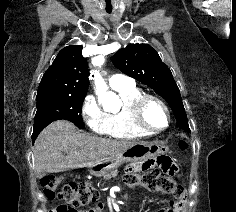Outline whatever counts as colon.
I'll return each instance as SVG.
<instances>
[{
    "label": "colon",
    "mask_w": 236,
    "mask_h": 212,
    "mask_svg": "<svg viewBox=\"0 0 236 212\" xmlns=\"http://www.w3.org/2000/svg\"><path fill=\"white\" fill-rule=\"evenodd\" d=\"M179 148H188L185 139L179 141ZM174 172L175 167L171 160L160 157L157 160L146 161L140 166L128 167L124 174V182L131 187L140 184L149 191L169 195L174 201H178L183 196V187L174 178ZM41 186L44 195L49 199L55 197L57 189L61 186L57 196L63 204L57 206L54 212H81L79 209L95 202L99 196L98 190L88 181H64L61 176L53 174L44 176Z\"/></svg>",
    "instance_id": "obj_1"
}]
</instances>
